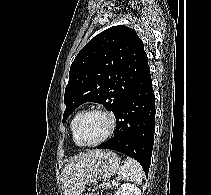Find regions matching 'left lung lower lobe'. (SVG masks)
I'll return each instance as SVG.
<instances>
[{"label": "left lung lower lobe", "instance_id": "left-lung-lower-lobe-1", "mask_svg": "<svg viewBox=\"0 0 211 195\" xmlns=\"http://www.w3.org/2000/svg\"><path fill=\"white\" fill-rule=\"evenodd\" d=\"M114 136L98 149H111L137 160L148 175L155 132V96L149 67L115 113Z\"/></svg>", "mask_w": 211, "mask_h": 195}]
</instances>
